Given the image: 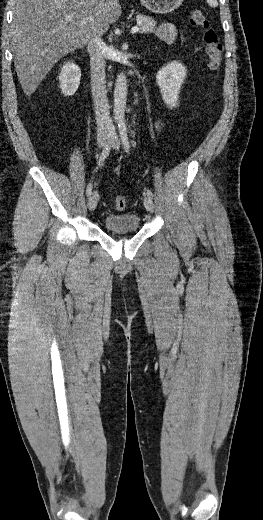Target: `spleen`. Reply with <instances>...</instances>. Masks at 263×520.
I'll return each mask as SVG.
<instances>
[{
    "label": "spleen",
    "instance_id": "1",
    "mask_svg": "<svg viewBox=\"0 0 263 520\" xmlns=\"http://www.w3.org/2000/svg\"><path fill=\"white\" fill-rule=\"evenodd\" d=\"M207 3H208L209 6H211V7H217V6H218V2H217V0H207Z\"/></svg>",
    "mask_w": 263,
    "mask_h": 520
}]
</instances>
